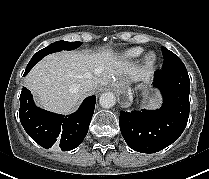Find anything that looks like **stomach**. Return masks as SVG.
Masks as SVG:
<instances>
[{
    "mask_svg": "<svg viewBox=\"0 0 209 179\" xmlns=\"http://www.w3.org/2000/svg\"><path fill=\"white\" fill-rule=\"evenodd\" d=\"M118 86L122 92H126L129 88V82H127V80H120L118 81Z\"/></svg>",
    "mask_w": 209,
    "mask_h": 179,
    "instance_id": "0dacf381",
    "label": "stomach"
}]
</instances>
